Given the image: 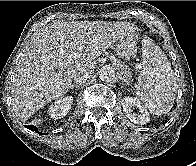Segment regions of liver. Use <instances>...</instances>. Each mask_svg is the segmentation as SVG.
<instances>
[{"mask_svg": "<svg viewBox=\"0 0 196 166\" xmlns=\"http://www.w3.org/2000/svg\"><path fill=\"white\" fill-rule=\"evenodd\" d=\"M137 27L129 22L56 21L30 41L12 87L16 116L26 121L35 111L70 89L76 72H93L96 59ZM81 56L75 58L79 47Z\"/></svg>", "mask_w": 196, "mask_h": 166, "instance_id": "liver-1", "label": "liver"}]
</instances>
